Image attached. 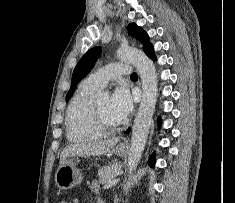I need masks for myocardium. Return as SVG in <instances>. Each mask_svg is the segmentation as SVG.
<instances>
[{
    "instance_id": "obj_1",
    "label": "myocardium",
    "mask_w": 235,
    "mask_h": 203,
    "mask_svg": "<svg viewBox=\"0 0 235 203\" xmlns=\"http://www.w3.org/2000/svg\"><path fill=\"white\" fill-rule=\"evenodd\" d=\"M92 118H93L95 127L103 135L113 134L119 131L122 127L121 123L115 126H111L107 124L99 111L96 101H93V104H92Z\"/></svg>"
}]
</instances>
